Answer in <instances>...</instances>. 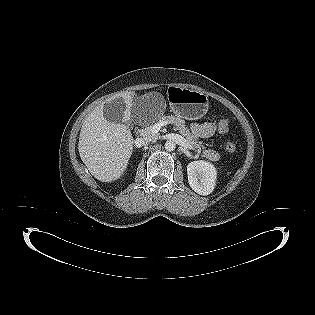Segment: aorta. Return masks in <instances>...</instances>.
<instances>
[{
	"instance_id": "aorta-1",
	"label": "aorta",
	"mask_w": 315,
	"mask_h": 315,
	"mask_svg": "<svg viewBox=\"0 0 315 315\" xmlns=\"http://www.w3.org/2000/svg\"><path fill=\"white\" fill-rule=\"evenodd\" d=\"M175 148H176V144H175L174 141H172V140L166 141V143H165V149H166L167 151H173V150H175Z\"/></svg>"
}]
</instances>
